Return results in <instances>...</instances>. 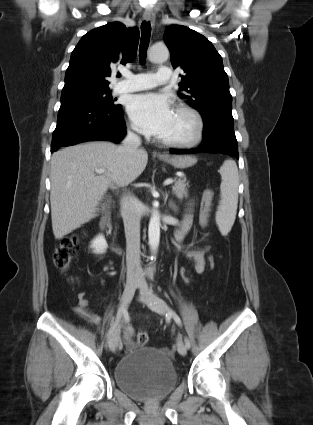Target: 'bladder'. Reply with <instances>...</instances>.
<instances>
[{"mask_svg": "<svg viewBox=\"0 0 313 425\" xmlns=\"http://www.w3.org/2000/svg\"><path fill=\"white\" fill-rule=\"evenodd\" d=\"M114 379L130 397L152 401L168 395L177 384L178 376L164 349L140 347L118 361Z\"/></svg>", "mask_w": 313, "mask_h": 425, "instance_id": "31cf9c89", "label": "bladder"}]
</instances>
